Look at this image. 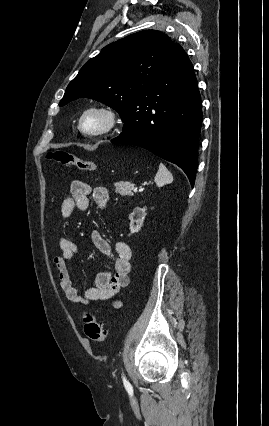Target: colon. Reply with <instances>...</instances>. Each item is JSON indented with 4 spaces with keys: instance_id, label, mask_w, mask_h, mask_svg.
<instances>
[{
    "instance_id": "colon-1",
    "label": "colon",
    "mask_w": 269,
    "mask_h": 426,
    "mask_svg": "<svg viewBox=\"0 0 269 426\" xmlns=\"http://www.w3.org/2000/svg\"><path fill=\"white\" fill-rule=\"evenodd\" d=\"M48 158L63 166H74L81 171L92 172L96 169L93 161L83 160L66 150H55L49 152ZM84 332L88 338L95 342L104 343L107 340V333L103 325L99 322L97 315L85 312L83 315Z\"/></svg>"
}]
</instances>
